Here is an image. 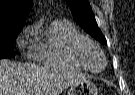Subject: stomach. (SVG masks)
<instances>
[{"label":"stomach","mask_w":135,"mask_h":95,"mask_svg":"<svg viewBox=\"0 0 135 95\" xmlns=\"http://www.w3.org/2000/svg\"><path fill=\"white\" fill-rule=\"evenodd\" d=\"M67 95H98V89L94 83L85 79L71 86Z\"/></svg>","instance_id":"stomach-1"}]
</instances>
